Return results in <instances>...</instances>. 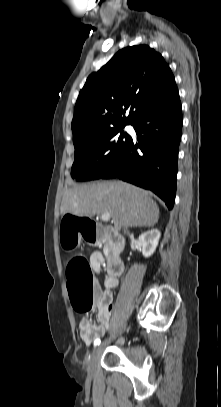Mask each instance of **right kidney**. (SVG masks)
I'll return each instance as SVG.
<instances>
[{
    "instance_id": "1",
    "label": "right kidney",
    "mask_w": 221,
    "mask_h": 407,
    "mask_svg": "<svg viewBox=\"0 0 221 407\" xmlns=\"http://www.w3.org/2000/svg\"><path fill=\"white\" fill-rule=\"evenodd\" d=\"M161 233L158 229H151L139 236V245L142 248L143 256L148 258L156 250Z\"/></svg>"
}]
</instances>
